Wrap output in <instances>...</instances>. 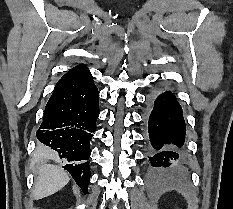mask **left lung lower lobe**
Here are the masks:
<instances>
[{
	"label": "left lung lower lobe",
	"mask_w": 233,
	"mask_h": 209,
	"mask_svg": "<svg viewBox=\"0 0 233 209\" xmlns=\"http://www.w3.org/2000/svg\"><path fill=\"white\" fill-rule=\"evenodd\" d=\"M148 128L152 145L151 167L156 170L176 168V161L182 156L185 122L174 94L166 91L155 96Z\"/></svg>",
	"instance_id": "1"
}]
</instances>
